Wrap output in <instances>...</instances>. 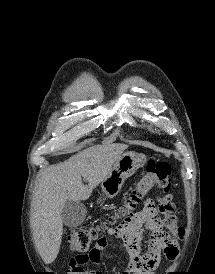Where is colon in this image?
<instances>
[{
	"instance_id": "obj_1",
	"label": "colon",
	"mask_w": 215,
	"mask_h": 274,
	"mask_svg": "<svg viewBox=\"0 0 215 274\" xmlns=\"http://www.w3.org/2000/svg\"><path fill=\"white\" fill-rule=\"evenodd\" d=\"M171 168L165 161L150 160L147 163L146 171L136 182L130 196L126 199L124 205L119 211V215H126L142 201V199L154 188L161 192L159 197V210L164 216V225L169 230L165 233L168 241L178 243L185 235L182 227L177 225L175 207L170 193ZM115 218L110 219L114 221ZM99 233L98 227H77L74 228L68 241L73 250L86 254L91 248L92 243L97 239Z\"/></svg>"
}]
</instances>
